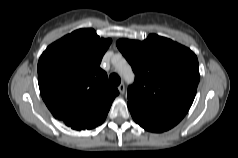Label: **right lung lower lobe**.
<instances>
[{"mask_svg":"<svg viewBox=\"0 0 238 158\" xmlns=\"http://www.w3.org/2000/svg\"><path fill=\"white\" fill-rule=\"evenodd\" d=\"M108 112H104L98 115H89L86 117H79L75 119H66L63 122L75 130H84V129H92L102 124L107 116Z\"/></svg>","mask_w":238,"mask_h":158,"instance_id":"obj_1","label":"right lung lower lobe"}]
</instances>
